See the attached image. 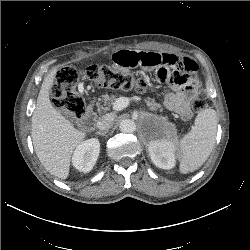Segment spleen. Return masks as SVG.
<instances>
[{
    "mask_svg": "<svg viewBox=\"0 0 250 250\" xmlns=\"http://www.w3.org/2000/svg\"><path fill=\"white\" fill-rule=\"evenodd\" d=\"M217 114L208 108L199 112L191 131L180 141V172L187 174L201 167L210 156L217 133Z\"/></svg>",
    "mask_w": 250,
    "mask_h": 250,
    "instance_id": "1",
    "label": "spleen"
}]
</instances>
